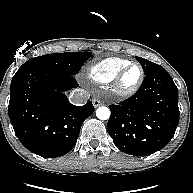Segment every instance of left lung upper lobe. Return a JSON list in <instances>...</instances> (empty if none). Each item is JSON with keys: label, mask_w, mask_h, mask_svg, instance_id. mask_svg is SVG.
Listing matches in <instances>:
<instances>
[{"label": "left lung upper lobe", "mask_w": 193, "mask_h": 193, "mask_svg": "<svg viewBox=\"0 0 193 193\" xmlns=\"http://www.w3.org/2000/svg\"><path fill=\"white\" fill-rule=\"evenodd\" d=\"M136 59L139 61V63L142 65L143 71L145 74L149 73L153 69H155L157 66H159L156 63H153L151 61H148L141 57H136Z\"/></svg>", "instance_id": "left-lung-upper-lobe-1"}]
</instances>
